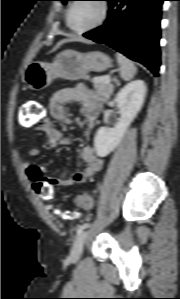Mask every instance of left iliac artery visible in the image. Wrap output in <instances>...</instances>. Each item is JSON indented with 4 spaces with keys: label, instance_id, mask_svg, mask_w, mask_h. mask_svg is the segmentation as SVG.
Here are the masks:
<instances>
[{
    "label": "left iliac artery",
    "instance_id": "obj_1",
    "mask_svg": "<svg viewBox=\"0 0 180 299\" xmlns=\"http://www.w3.org/2000/svg\"><path fill=\"white\" fill-rule=\"evenodd\" d=\"M89 226V223H83L82 225H80L77 229L76 234L79 235L81 232H83L84 229H86Z\"/></svg>",
    "mask_w": 180,
    "mask_h": 299
}]
</instances>
